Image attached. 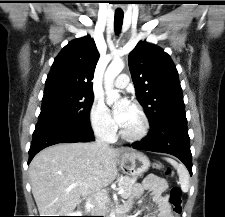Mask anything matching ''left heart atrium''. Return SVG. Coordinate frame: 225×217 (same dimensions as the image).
<instances>
[{
  "mask_svg": "<svg viewBox=\"0 0 225 217\" xmlns=\"http://www.w3.org/2000/svg\"><path fill=\"white\" fill-rule=\"evenodd\" d=\"M130 107V102L126 98H122L114 107L113 116L120 127L126 122Z\"/></svg>",
  "mask_w": 225,
  "mask_h": 217,
  "instance_id": "left-heart-atrium-1",
  "label": "left heart atrium"
}]
</instances>
